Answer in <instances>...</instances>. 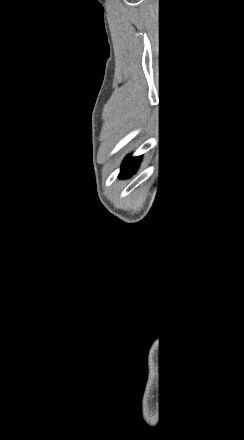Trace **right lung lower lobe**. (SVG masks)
Returning <instances> with one entry per match:
<instances>
[{
  "label": "right lung lower lobe",
  "instance_id": "right-lung-lower-lobe-1",
  "mask_svg": "<svg viewBox=\"0 0 244 440\" xmlns=\"http://www.w3.org/2000/svg\"><path fill=\"white\" fill-rule=\"evenodd\" d=\"M140 162H141V157H136V158L127 157L123 162L119 177H128L131 174H133L137 170Z\"/></svg>",
  "mask_w": 244,
  "mask_h": 440
}]
</instances>
